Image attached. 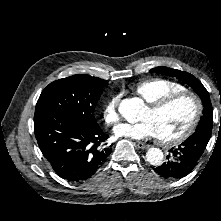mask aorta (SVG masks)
Wrapping results in <instances>:
<instances>
[{"label":"aorta","mask_w":221,"mask_h":221,"mask_svg":"<svg viewBox=\"0 0 221 221\" xmlns=\"http://www.w3.org/2000/svg\"><path fill=\"white\" fill-rule=\"evenodd\" d=\"M142 106V102L138 99H125L119 105V112L127 121L136 122ZM163 158V152L159 148H150L146 153V160L154 166L160 165Z\"/></svg>","instance_id":"obj_1"}]
</instances>
